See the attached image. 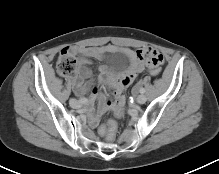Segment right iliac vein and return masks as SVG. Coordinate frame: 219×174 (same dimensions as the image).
Masks as SVG:
<instances>
[{
  "label": "right iliac vein",
  "instance_id": "63e3f726",
  "mask_svg": "<svg viewBox=\"0 0 219 174\" xmlns=\"http://www.w3.org/2000/svg\"><path fill=\"white\" fill-rule=\"evenodd\" d=\"M69 104L73 108L81 107L80 103L76 99H70Z\"/></svg>",
  "mask_w": 219,
  "mask_h": 174
}]
</instances>
